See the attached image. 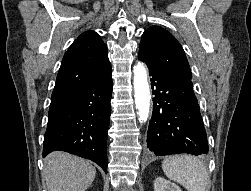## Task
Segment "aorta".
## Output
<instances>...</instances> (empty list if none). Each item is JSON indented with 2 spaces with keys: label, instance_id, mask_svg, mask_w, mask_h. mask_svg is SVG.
Listing matches in <instances>:
<instances>
[{
  "label": "aorta",
  "instance_id": "aorta-1",
  "mask_svg": "<svg viewBox=\"0 0 251 191\" xmlns=\"http://www.w3.org/2000/svg\"><path fill=\"white\" fill-rule=\"evenodd\" d=\"M133 76L135 107L138 109L140 123H145L150 111L151 94L147 82V70L142 62L134 66Z\"/></svg>",
  "mask_w": 251,
  "mask_h": 191
}]
</instances>
